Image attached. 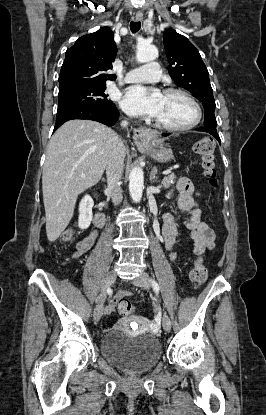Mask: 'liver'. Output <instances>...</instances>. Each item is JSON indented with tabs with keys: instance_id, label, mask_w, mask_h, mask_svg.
<instances>
[{
	"instance_id": "liver-1",
	"label": "liver",
	"mask_w": 266,
	"mask_h": 415,
	"mask_svg": "<svg viewBox=\"0 0 266 415\" xmlns=\"http://www.w3.org/2000/svg\"><path fill=\"white\" fill-rule=\"evenodd\" d=\"M114 136V131L101 123L76 119L64 123L50 139L42 174L50 242L68 226L78 195L101 179Z\"/></svg>"
}]
</instances>
